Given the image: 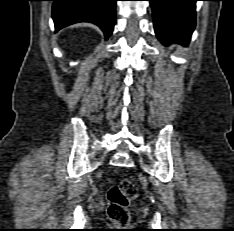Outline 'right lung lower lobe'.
Segmentation results:
<instances>
[{
  "label": "right lung lower lobe",
  "mask_w": 234,
  "mask_h": 231,
  "mask_svg": "<svg viewBox=\"0 0 234 231\" xmlns=\"http://www.w3.org/2000/svg\"><path fill=\"white\" fill-rule=\"evenodd\" d=\"M55 30L78 22L98 25L108 39L115 24L117 0H52Z\"/></svg>",
  "instance_id": "right-lung-lower-lobe-1"
}]
</instances>
